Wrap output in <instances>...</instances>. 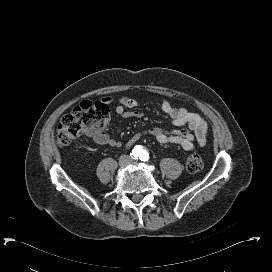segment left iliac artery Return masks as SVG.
Returning a JSON list of instances; mask_svg holds the SVG:
<instances>
[{"instance_id": "1", "label": "left iliac artery", "mask_w": 272, "mask_h": 272, "mask_svg": "<svg viewBox=\"0 0 272 272\" xmlns=\"http://www.w3.org/2000/svg\"><path fill=\"white\" fill-rule=\"evenodd\" d=\"M140 160H142V161H147L148 159H149V154H148V152L147 151H145V150H142V153H141V155H140Z\"/></svg>"}]
</instances>
